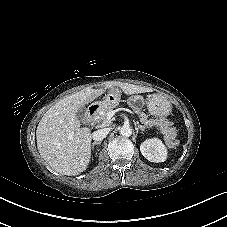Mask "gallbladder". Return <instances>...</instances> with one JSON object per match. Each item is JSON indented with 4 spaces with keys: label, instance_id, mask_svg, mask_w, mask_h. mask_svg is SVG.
<instances>
[{
    "label": "gallbladder",
    "instance_id": "gallbladder-1",
    "mask_svg": "<svg viewBox=\"0 0 227 227\" xmlns=\"http://www.w3.org/2000/svg\"><path fill=\"white\" fill-rule=\"evenodd\" d=\"M85 114H86V108L85 107H81L79 110H78V119H83L85 117Z\"/></svg>",
    "mask_w": 227,
    "mask_h": 227
}]
</instances>
